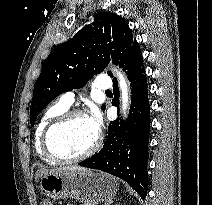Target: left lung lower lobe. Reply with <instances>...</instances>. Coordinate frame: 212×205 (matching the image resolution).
<instances>
[{
    "label": "left lung lower lobe",
    "instance_id": "0a47b994",
    "mask_svg": "<svg viewBox=\"0 0 212 205\" xmlns=\"http://www.w3.org/2000/svg\"><path fill=\"white\" fill-rule=\"evenodd\" d=\"M120 68L126 71L131 82L129 116L125 122H110L103 148L79 165L98 169L125 180L144 199L147 193L150 105L142 54L136 40ZM113 92L114 101L118 103L119 90L116 78L113 79Z\"/></svg>",
    "mask_w": 212,
    "mask_h": 205
}]
</instances>
